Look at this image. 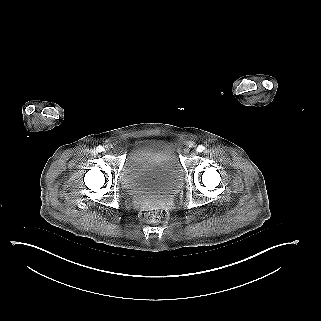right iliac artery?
<instances>
[{"label": "right iliac artery", "instance_id": "82829eb1", "mask_svg": "<svg viewBox=\"0 0 321 321\" xmlns=\"http://www.w3.org/2000/svg\"><path fill=\"white\" fill-rule=\"evenodd\" d=\"M96 150H97L98 152H102V151L104 150V148H103L102 146H98V147L96 148Z\"/></svg>", "mask_w": 321, "mask_h": 321}]
</instances>
